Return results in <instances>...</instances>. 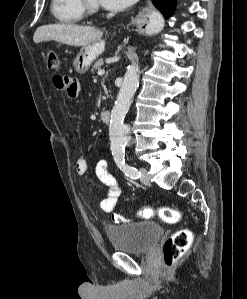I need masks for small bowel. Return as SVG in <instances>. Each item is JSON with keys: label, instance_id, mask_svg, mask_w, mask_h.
Returning a JSON list of instances; mask_svg holds the SVG:
<instances>
[{"label": "small bowel", "instance_id": "obj_1", "mask_svg": "<svg viewBox=\"0 0 247 299\" xmlns=\"http://www.w3.org/2000/svg\"><path fill=\"white\" fill-rule=\"evenodd\" d=\"M53 83L56 89L63 91L70 99H76L79 92V82L76 79L54 75ZM75 169L79 175H84L88 171L87 160L80 156L75 163ZM96 174L100 181L107 187V194L100 202V208L105 213H111L117 205L121 195V187L116 177L109 171L106 160H99L96 165ZM116 222H121L120 217H115Z\"/></svg>", "mask_w": 247, "mask_h": 299}]
</instances>
